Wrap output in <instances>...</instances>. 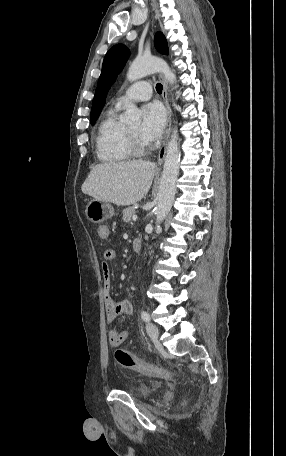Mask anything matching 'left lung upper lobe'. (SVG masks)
Instances as JSON below:
<instances>
[{
  "label": "left lung upper lobe",
  "mask_w": 286,
  "mask_h": 456,
  "mask_svg": "<svg viewBox=\"0 0 286 456\" xmlns=\"http://www.w3.org/2000/svg\"><path fill=\"white\" fill-rule=\"evenodd\" d=\"M156 49L162 54H168L167 41L161 32H157L154 39ZM130 55L129 49L123 44L113 46L106 54L102 72L99 77L95 96L92 102L90 122L93 125L98 119L105 104V98L117 74L122 70Z\"/></svg>",
  "instance_id": "obj_1"
}]
</instances>
